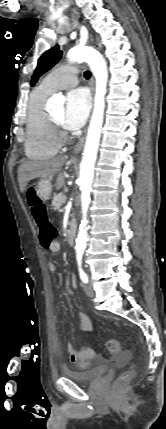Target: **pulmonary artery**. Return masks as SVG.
Wrapping results in <instances>:
<instances>
[{
  "label": "pulmonary artery",
  "instance_id": "e3ab8cb5",
  "mask_svg": "<svg viewBox=\"0 0 166 429\" xmlns=\"http://www.w3.org/2000/svg\"><path fill=\"white\" fill-rule=\"evenodd\" d=\"M78 69L75 65H66L55 69L42 81L40 87L46 91L53 92L65 89L77 83Z\"/></svg>",
  "mask_w": 166,
  "mask_h": 429
}]
</instances>
